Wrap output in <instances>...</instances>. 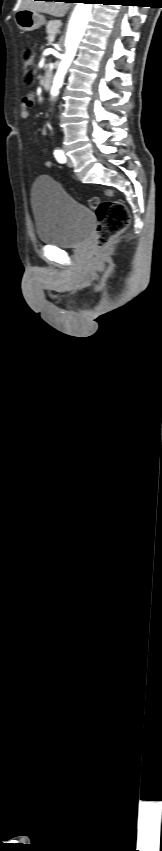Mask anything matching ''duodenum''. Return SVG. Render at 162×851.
Listing matches in <instances>:
<instances>
[{
  "instance_id": "1",
  "label": "duodenum",
  "mask_w": 162,
  "mask_h": 851,
  "mask_svg": "<svg viewBox=\"0 0 162 851\" xmlns=\"http://www.w3.org/2000/svg\"><path fill=\"white\" fill-rule=\"evenodd\" d=\"M52 82V74L49 70H46L42 77V87L44 89H48Z\"/></svg>"
}]
</instances>
